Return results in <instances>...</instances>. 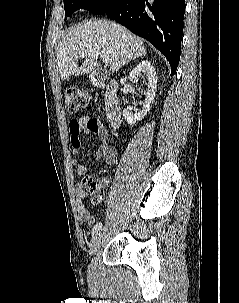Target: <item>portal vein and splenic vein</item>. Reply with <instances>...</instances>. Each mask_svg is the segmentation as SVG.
I'll list each match as a JSON object with an SVG mask.
<instances>
[{
	"label": "portal vein and splenic vein",
	"instance_id": "1",
	"mask_svg": "<svg viewBox=\"0 0 239 303\" xmlns=\"http://www.w3.org/2000/svg\"><path fill=\"white\" fill-rule=\"evenodd\" d=\"M85 54L83 53V56H84ZM102 57V59H103V62L106 64V65H108V64H110L111 62H112V60L110 59V58H108V57H103V56H101Z\"/></svg>",
	"mask_w": 239,
	"mask_h": 303
}]
</instances>
